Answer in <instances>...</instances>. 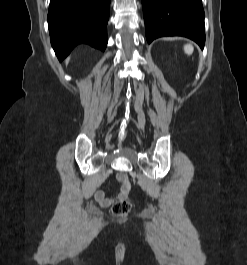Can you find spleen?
Here are the masks:
<instances>
[{"label": "spleen", "mask_w": 247, "mask_h": 265, "mask_svg": "<svg viewBox=\"0 0 247 265\" xmlns=\"http://www.w3.org/2000/svg\"><path fill=\"white\" fill-rule=\"evenodd\" d=\"M193 46L191 44H186L184 46V51L186 54L191 55L193 53Z\"/></svg>", "instance_id": "3e777b00"}]
</instances>
